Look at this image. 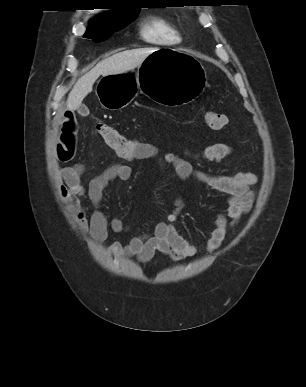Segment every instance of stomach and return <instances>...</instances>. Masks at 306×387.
Instances as JSON below:
<instances>
[{
    "instance_id": "stomach-1",
    "label": "stomach",
    "mask_w": 306,
    "mask_h": 387,
    "mask_svg": "<svg viewBox=\"0 0 306 387\" xmlns=\"http://www.w3.org/2000/svg\"><path fill=\"white\" fill-rule=\"evenodd\" d=\"M206 84L205 69L197 59L173 46H157L135 77L129 73L103 76L97 96L103 107L116 109L129 105L136 91H145L161 108H185Z\"/></svg>"
}]
</instances>
